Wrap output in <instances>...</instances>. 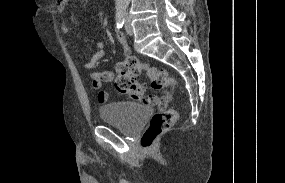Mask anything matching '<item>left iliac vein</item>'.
Instances as JSON below:
<instances>
[{
	"label": "left iliac vein",
	"instance_id": "left-iliac-vein-1",
	"mask_svg": "<svg viewBox=\"0 0 285 183\" xmlns=\"http://www.w3.org/2000/svg\"><path fill=\"white\" fill-rule=\"evenodd\" d=\"M125 30L128 35H133V28L131 26L130 19L127 15L125 16Z\"/></svg>",
	"mask_w": 285,
	"mask_h": 183
}]
</instances>
